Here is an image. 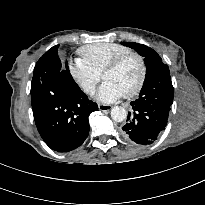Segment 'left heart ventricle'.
Returning <instances> with one entry per match:
<instances>
[{"instance_id": "obj_1", "label": "left heart ventricle", "mask_w": 205, "mask_h": 205, "mask_svg": "<svg viewBox=\"0 0 205 205\" xmlns=\"http://www.w3.org/2000/svg\"><path fill=\"white\" fill-rule=\"evenodd\" d=\"M139 73L138 61L135 58H129L117 69L107 72L103 79L114 83L123 93H126L137 83Z\"/></svg>"}]
</instances>
